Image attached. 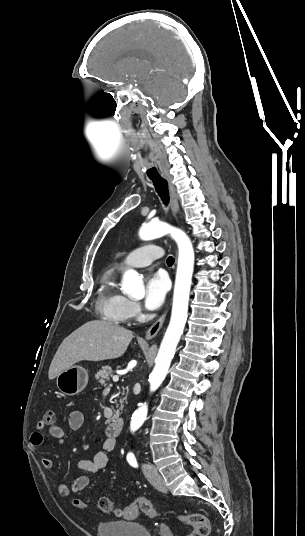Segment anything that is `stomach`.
I'll list each match as a JSON object with an SVG mask.
<instances>
[{"label":"stomach","mask_w":305,"mask_h":536,"mask_svg":"<svg viewBox=\"0 0 305 536\" xmlns=\"http://www.w3.org/2000/svg\"><path fill=\"white\" fill-rule=\"evenodd\" d=\"M58 390L65 396H76L82 392L88 384V372L81 366H71L58 374L56 378Z\"/></svg>","instance_id":"0dacf381"}]
</instances>
